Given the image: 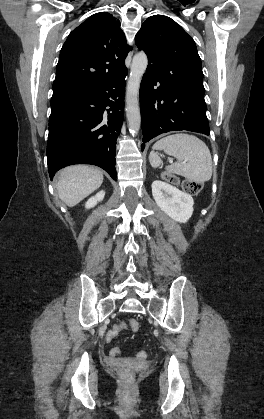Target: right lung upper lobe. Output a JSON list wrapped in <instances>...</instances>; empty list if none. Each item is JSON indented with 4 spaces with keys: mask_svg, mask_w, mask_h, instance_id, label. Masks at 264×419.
Wrapping results in <instances>:
<instances>
[{
    "mask_svg": "<svg viewBox=\"0 0 264 419\" xmlns=\"http://www.w3.org/2000/svg\"><path fill=\"white\" fill-rule=\"evenodd\" d=\"M131 50L110 13L92 15L74 29L64 43L56 67L53 96L98 88L126 71Z\"/></svg>",
    "mask_w": 264,
    "mask_h": 419,
    "instance_id": "obj_1",
    "label": "right lung upper lobe"
}]
</instances>
